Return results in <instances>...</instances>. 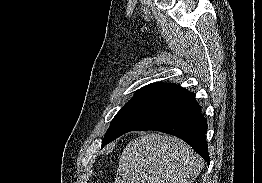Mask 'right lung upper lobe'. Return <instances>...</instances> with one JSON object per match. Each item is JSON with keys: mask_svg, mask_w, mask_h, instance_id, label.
<instances>
[{"mask_svg": "<svg viewBox=\"0 0 262 183\" xmlns=\"http://www.w3.org/2000/svg\"><path fill=\"white\" fill-rule=\"evenodd\" d=\"M169 83H152L147 86L142 87L140 90L137 92H158L160 89L168 85Z\"/></svg>", "mask_w": 262, "mask_h": 183, "instance_id": "cb5924a9", "label": "right lung upper lobe"}]
</instances>
